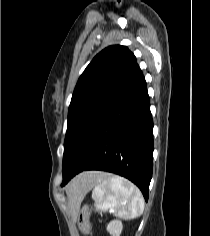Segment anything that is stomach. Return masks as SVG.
<instances>
[{"label": "stomach", "instance_id": "1", "mask_svg": "<svg viewBox=\"0 0 210 236\" xmlns=\"http://www.w3.org/2000/svg\"><path fill=\"white\" fill-rule=\"evenodd\" d=\"M89 217H90L89 207L85 206L80 210L78 216V227L83 234L90 233L92 229Z\"/></svg>", "mask_w": 210, "mask_h": 236}]
</instances>
